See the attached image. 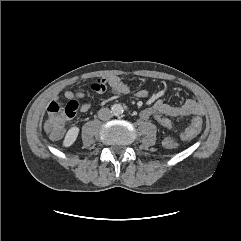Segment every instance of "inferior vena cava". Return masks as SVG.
Returning <instances> with one entry per match:
<instances>
[{
    "label": "inferior vena cava",
    "mask_w": 241,
    "mask_h": 241,
    "mask_svg": "<svg viewBox=\"0 0 241 241\" xmlns=\"http://www.w3.org/2000/svg\"><path fill=\"white\" fill-rule=\"evenodd\" d=\"M98 117L103 121H107L112 117V112L108 108H102L98 112Z\"/></svg>",
    "instance_id": "obj_1"
}]
</instances>
